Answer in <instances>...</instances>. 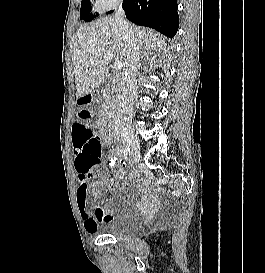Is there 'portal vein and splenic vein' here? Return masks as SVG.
Masks as SVG:
<instances>
[{
  "instance_id": "1",
  "label": "portal vein and splenic vein",
  "mask_w": 265,
  "mask_h": 273,
  "mask_svg": "<svg viewBox=\"0 0 265 273\" xmlns=\"http://www.w3.org/2000/svg\"><path fill=\"white\" fill-rule=\"evenodd\" d=\"M122 67H123V63L119 60H116L112 65V68L116 71L120 70Z\"/></svg>"
}]
</instances>
